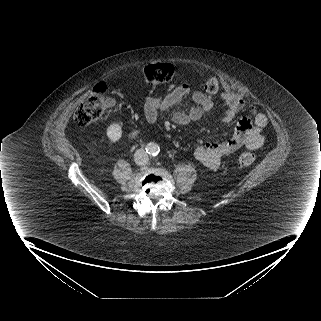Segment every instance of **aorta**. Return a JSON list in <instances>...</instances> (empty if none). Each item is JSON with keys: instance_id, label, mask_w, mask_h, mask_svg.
<instances>
[{"instance_id": "aorta-1", "label": "aorta", "mask_w": 321, "mask_h": 321, "mask_svg": "<svg viewBox=\"0 0 321 321\" xmlns=\"http://www.w3.org/2000/svg\"><path fill=\"white\" fill-rule=\"evenodd\" d=\"M160 151V147L156 143H149L147 145V152L151 155H157Z\"/></svg>"}]
</instances>
